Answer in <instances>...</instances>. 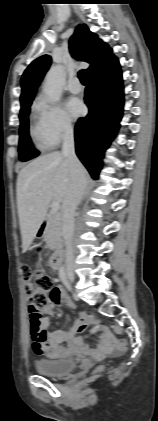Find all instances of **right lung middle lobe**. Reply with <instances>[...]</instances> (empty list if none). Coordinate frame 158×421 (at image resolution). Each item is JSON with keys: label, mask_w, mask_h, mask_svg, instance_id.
<instances>
[{"label": "right lung middle lobe", "mask_w": 158, "mask_h": 421, "mask_svg": "<svg viewBox=\"0 0 158 421\" xmlns=\"http://www.w3.org/2000/svg\"><path fill=\"white\" fill-rule=\"evenodd\" d=\"M31 102L21 105L20 110V139H19V159L21 161H28L36 157L39 152H37L32 145L31 139L29 137V124H28V115L30 112Z\"/></svg>", "instance_id": "obj_1"}]
</instances>
